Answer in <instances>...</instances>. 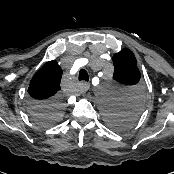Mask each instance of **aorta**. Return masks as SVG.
Returning a JSON list of instances; mask_svg holds the SVG:
<instances>
[{
  "instance_id": "aorta-1",
  "label": "aorta",
  "mask_w": 174,
  "mask_h": 174,
  "mask_svg": "<svg viewBox=\"0 0 174 174\" xmlns=\"http://www.w3.org/2000/svg\"><path fill=\"white\" fill-rule=\"evenodd\" d=\"M98 90L100 97L105 101H108L113 97L114 90L111 87L102 85Z\"/></svg>"
}]
</instances>
